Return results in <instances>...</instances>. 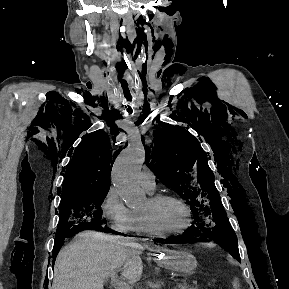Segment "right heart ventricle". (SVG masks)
<instances>
[{
    "label": "right heart ventricle",
    "instance_id": "obj_1",
    "mask_svg": "<svg viewBox=\"0 0 289 289\" xmlns=\"http://www.w3.org/2000/svg\"><path fill=\"white\" fill-rule=\"evenodd\" d=\"M134 218H135V225H134V231L137 232L138 234H149L147 230L145 229V226L142 222V219L140 217V214L138 211H133Z\"/></svg>",
    "mask_w": 289,
    "mask_h": 289
}]
</instances>
